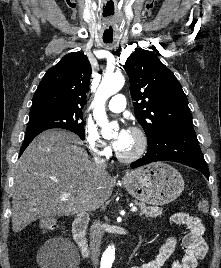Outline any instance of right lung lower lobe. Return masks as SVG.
<instances>
[{
  "mask_svg": "<svg viewBox=\"0 0 221 268\" xmlns=\"http://www.w3.org/2000/svg\"><path fill=\"white\" fill-rule=\"evenodd\" d=\"M45 130L43 129H38V130H32V131H27L25 133V139L24 142L22 144V147L20 149V155L23 153V151L27 148V146L31 143V141L41 132H43ZM81 139H83L82 137H80Z\"/></svg>",
  "mask_w": 221,
  "mask_h": 268,
  "instance_id": "98d812e1",
  "label": "right lung lower lobe"
}]
</instances>
